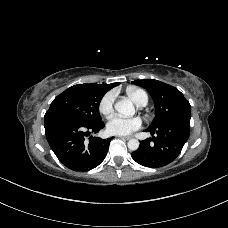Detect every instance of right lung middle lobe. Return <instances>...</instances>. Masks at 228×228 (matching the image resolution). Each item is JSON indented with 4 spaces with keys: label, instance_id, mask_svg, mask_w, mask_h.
<instances>
[{
    "label": "right lung middle lobe",
    "instance_id": "1",
    "mask_svg": "<svg viewBox=\"0 0 228 228\" xmlns=\"http://www.w3.org/2000/svg\"><path fill=\"white\" fill-rule=\"evenodd\" d=\"M106 92L100 84L74 85L53 100L45 115L63 114L85 124L99 123V104Z\"/></svg>",
    "mask_w": 228,
    "mask_h": 228
}]
</instances>
